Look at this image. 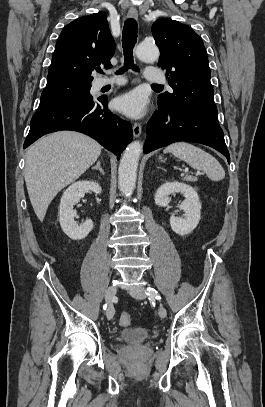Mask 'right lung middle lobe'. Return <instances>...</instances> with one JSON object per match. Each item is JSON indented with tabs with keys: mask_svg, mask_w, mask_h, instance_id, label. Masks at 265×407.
Returning <instances> with one entry per match:
<instances>
[{
	"mask_svg": "<svg viewBox=\"0 0 265 407\" xmlns=\"http://www.w3.org/2000/svg\"><path fill=\"white\" fill-rule=\"evenodd\" d=\"M90 88L91 83L76 81L47 82L37 111L91 99Z\"/></svg>",
	"mask_w": 265,
	"mask_h": 407,
	"instance_id": "obj_1",
	"label": "right lung middle lobe"
}]
</instances>
